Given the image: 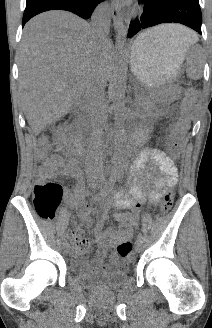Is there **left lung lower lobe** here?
Instances as JSON below:
<instances>
[{
    "label": "left lung lower lobe",
    "instance_id": "left-lung-lower-lobe-1",
    "mask_svg": "<svg viewBox=\"0 0 212 328\" xmlns=\"http://www.w3.org/2000/svg\"><path fill=\"white\" fill-rule=\"evenodd\" d=\"M144 4L141 19L131 22L128 37L161 23H181L201 34L202 15L199 0H139Z\"/></svg>",
    "mask_w": 212,
    "mask_h": 328
}]
</instances>
